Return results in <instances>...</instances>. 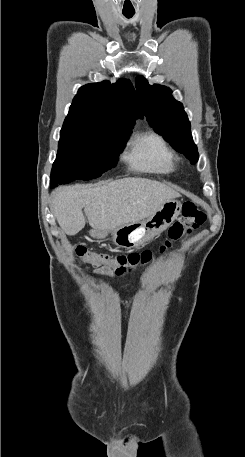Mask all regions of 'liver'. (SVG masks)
I'll use <instances>...</instances> for the list:
<instances>
[{"label": "liver", "mask_w": 245, "mask_h": 457, "mask_svg": "<svg viewBox=\"0 0 245 457\" xmlns=\"http://www.w3.org/2000/svg\"><path fill=\"white\" fill-rule=\"evenodd\" d=\"M52 196V210L61 229L66 235H77L85 226L82 208L90 226L104 231L116 229L126 222L143 220L163 202L180 194L159 180L128 176L101 186H58Z\"/></svg>", "instance_id": "liver-1"}]
</instances>
